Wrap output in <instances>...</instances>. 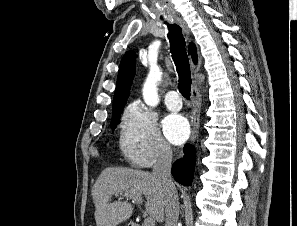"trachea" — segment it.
I'll return each mask as SVG.
<instances>
[{"mask_svg":"<svg viewBox=\"0 0 297 226\" xmlns=\"http://www.w3.org/2000/svg\"><path fill=\"white\" fill-rule=\"evenodd\" d=\"M168 38L170 41L172 58L179 76V92L189 99L191 91V71L189 59L185 49V39L181 33V28L176 25L168 24Z\"/></svg>","mask_w":297,"mask_h":226,"instance_id":"1","label":"trachea"}]
</instances>
